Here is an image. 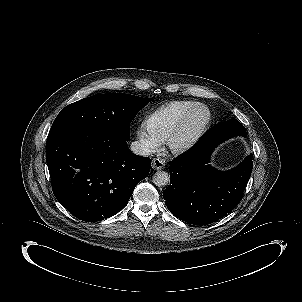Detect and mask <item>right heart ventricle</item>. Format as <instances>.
<instances>
[{"label":"right heart ventricle","mask_w":302,"mask_h":302,"mask_svg":"<svg viewBox=\"0 0 302 302\" xmlns=\"http://www.w3.org/2000/svg\"><path fill=\"white\" fill-rule=\"evenodd\" d=\"M197 104L191 101L169 102L155 110L145 121L150 133L163 140L181 117Z\"/></svg>","instance_id":"e07e8e85"}]
</instances>
